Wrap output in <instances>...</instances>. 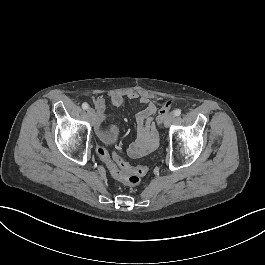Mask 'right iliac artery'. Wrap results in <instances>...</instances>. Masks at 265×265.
Segmentation results:
<instances>
[{
    "mask_svg": "<svg viewBox=\"0 0 265 265\" xmlns=\"http://www.w3.org/2000/svg\"><path fill=\"white\" fill-rule=\"evenodd\" d=\"M82 108H83L84 110H87V109L89 108V105H88L87 103H83V104H82Z\"/></svg>",
    "mask_w": 265,
    "mask_h": 265,
    "instance_id": "1",
    "label": "right iliac artery"
}]
</instances>
